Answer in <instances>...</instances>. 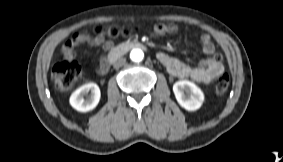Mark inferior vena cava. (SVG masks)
I'll return each instance as SVG.
<instances>
[{
  "label": "inferior vena cava",
  "mask_w": 283,
  "mask_h": 162,
  "mask_svg": "<svg viewBox=\"0 0 283 162\" xmlns=\"http://www.w3.org/2000/svg\"><path fill=\"white\" fill-rule=\"evenodd\" d=\"M125 62H126V59L125 58H119L118 60H116L115 62H114V68H119V67H121L122 65H124L125 64Z\"/></svg>",
  "instance_id": "inferior-vena-cava-1"
}]
</instances>
